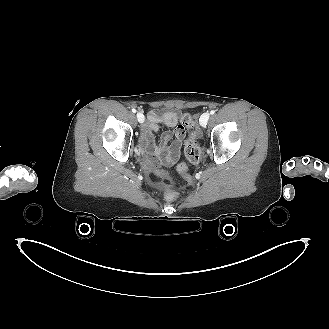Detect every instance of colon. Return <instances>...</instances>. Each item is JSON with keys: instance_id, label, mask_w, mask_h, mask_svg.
Instances as JSON below:
<instances>
[{"instance_id": "5ec220e1", "label": "colon", "mask_w": 329, "mask_h": 329, "mask_svg": "<svg viewBox=\"0 0 329 329\" xmlns=\"http://www.w3.org/2000/svg\"><path fill=\"white\" fill-rule=\"evenodd\" d=\"M181 127L188 131L185 142V152L188 159V163L181 162L176 168V175L170 170L165 169L162 175L170 180L171 182H179L184 186L190 185L193 182V177L189 172V164H195L199 161L201 156V149L197 143L198 131L196 129L195 120L192 115L186 113L182 117ZM168 197L172 198L175 196V192L171 189L167 192Z\"/></svg>"}]
</instances>
